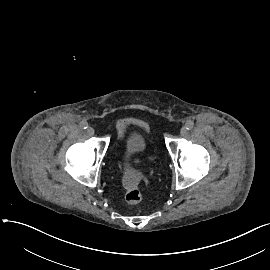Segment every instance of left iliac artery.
Wrapping results in <instances>:
<instances>
[{
    "instance_id": "left-iliac-artery-1",
    "label": "left iliac artery",
    "mask_w": 270,
    "mask_h": 270,
    "mask_svg": "<svg viewBox=\"0 0 270 270\" xmlns=\"http://www.w3.org/2000/svg\"><path fill=\"white\" fill-rule=\"evenodd\" d=\"M185 126H186L187 130H191L194 127V123H193V121L189 120L186 122Z\"/></svg>"
}]
</instances>
